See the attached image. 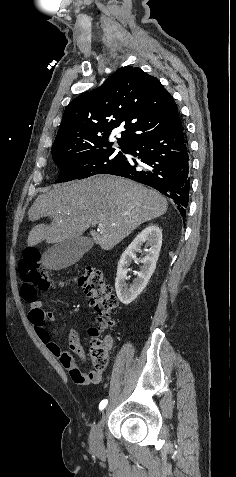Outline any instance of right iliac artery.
Masks as SVG:
<instances>
[{"label":"right iliac artery","instance_id":"right-iliac-artery-1","mask_svg":"<svg viewBox=\"0 0 236 477\" xmlns=\"http://www.w3.org/2000/svg\"><path fill=\"white\" fill-rule=\"evenodd\" d=\"M107 404H108V400H107V399L102 400V401L100 402V404H99V410L102 411V410L107 406Z\"/></svg>","mask_w":236,"mask_h":477}]
</instances>
